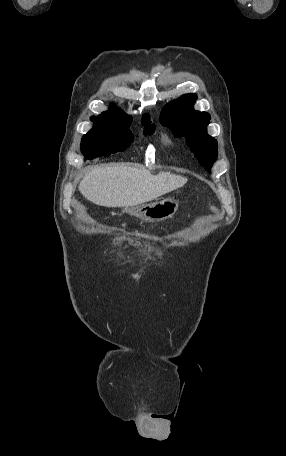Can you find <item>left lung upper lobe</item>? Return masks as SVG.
<instances>
[{
    "instance_id": "left-lung-upper-lobe-1",
    "label": "left lung upper lobe",
    "mask_w": 286,
    "mask_h": 456,
    "mask_svg": "<svg viewBox=\"0 0 286 456\" xmlns=\"http://www.w3.org/2000/svg\"><path fill=\"white\" fill-rule=\"evenodd\" d=\"M196 94H185L167 104L160 115L162 125L176 137L186 136L189 147L209 171L217 158V141L207 134L210 115L194 110Z\"/></svg>"
}]
</instances>
